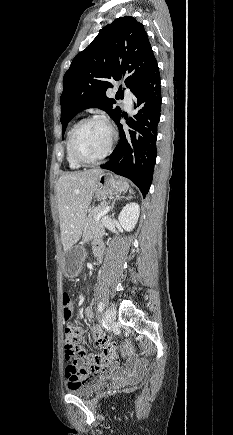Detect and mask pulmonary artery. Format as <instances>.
Wrapping results in <instances>:
<instances>
[{
    "label": "pulmonary artery",
    "instance_id": "e3ab8cb5",
    "mask_svg": "<svg viewBox=\"0 0 233 435\" xmlns=\"http://www.w3.org/2000/svg\"><path fill=\"white\" fill-rule=\"evenodd\" d=\"M122 94L124 96V104L126 108H130L132 105L133 94L128 89H122Z\"/></svg>",
    "mask_w": 233,
    "mask_h": 435
}]
</instances>
